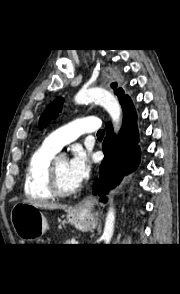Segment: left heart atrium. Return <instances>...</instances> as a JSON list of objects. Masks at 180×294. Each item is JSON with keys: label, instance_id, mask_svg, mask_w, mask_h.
I'll list each match as a JSON object with an SVG mask.
<instances>
[{"label": "left heart atrium", "instance_id": "39dd6f15", "mask_svg": "<svg viewBox=\"0 0 180 294\" xmlns=\"http://www.w3.org/2000/svg\"><path fill=\"white\" fill-rule=\"evenodd\" d=\"M90 170L91 161L88 154L77 148L68 162V172L72 180L79 186L89 176Z\"/></svg>", "mask_w": 180, "mask_h": 294}]
</instances>
